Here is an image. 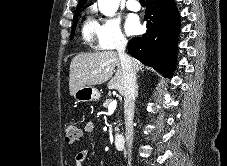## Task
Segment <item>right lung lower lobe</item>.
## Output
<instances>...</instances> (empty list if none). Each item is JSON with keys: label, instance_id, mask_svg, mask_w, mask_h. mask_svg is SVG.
<instances>
[{"label": "right lung lower lobe", "instance_id": "right-lung-lower-lobe-1", "mask_svg": "<svg viewBox=\"0 0 227 166\" xmlns=\"http://www.w3.org/2000/svg\"><path fill=\"white\" fill-rule=\"evenodd\" d=\"M147 31L129 41L128 52L146 66L154 67L167 77L176 62L178 11L173 0H147Z\"/></svg>", "mask_w": 227, "mask_h": 166}]
</instances>
